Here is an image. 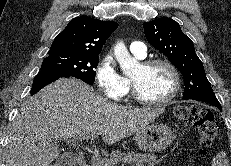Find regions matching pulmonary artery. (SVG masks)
I'll use <instances>...</instances> for the list:
<instances>
[{"label":"pulmonary artery","mask_w":231,"mask_h":166,"mask_svg":"<svg viewBox=\"0 0 231 166\" xmlns=\"http://www.w3.org/2000/svg\"><path fill=\"white\" fill-rule=\"evenodd\" d=\"M130 52L138 57L144 58L147 55V48L146 45L141 41H134L129 45Z\"/></svg>","instance_id":"1"}]
</instances>
